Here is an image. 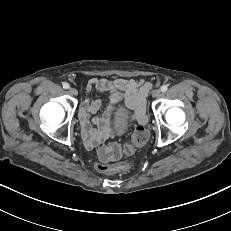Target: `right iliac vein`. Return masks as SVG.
<instances>
[{"label": "right iliac vein", "instance_id": "63e3f726", "mask_svg": "<svg viewBox=\"0 0 231 231\" xmlns=\"http://www.w3.org/2000/svg\"><path fill=\"white\" fill-rule=\"evenodd\" d=\"M69 93L73 96H76L78 94V91L75 88L71 87L69 89Z\"/></svg>", "mask_w": 231, "mask_h": 231}]
</instances>
